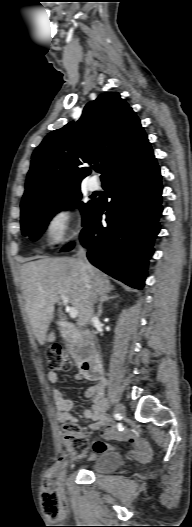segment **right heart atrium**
<instances>
[{
  "label": "right heart atrium",
  "instance_id": "d8ad5b80",
  "mask_svg": "<svg viewBox=\"0 0 192 527\" xmlns=\"http://www.w3.org/2000/svg\"><path fill=\"white\" fill-rule=\"evenodd\" d=\"M45 237L49 246L56 247L78 235L73 208L67 203L54 207L45 222Z\"/></svg>",
  "mask_w": 192,
  "mask_h": 527
}]
</instances>
